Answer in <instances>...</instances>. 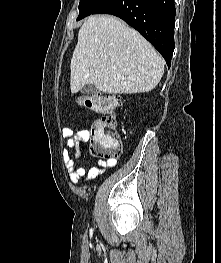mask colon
Returning a JSON list of instances; mask_svg holds the SVG:
<instances>
[{"label":"colon","instance_id":"colon-1","mask_svg":"<svg viewBox=\"0 0 221 263\" xmlns=\"http://www.w3.org/2000/svg\"><path fill=\"white\" fill-rule=\"evenodd\" d=\"M78 104L88 110L102 114L90 128L89 138L92 153L100 158L115 159L121 153L117 135L116 110L122 105L120 96L112 93L81 95Z\"/></svg>","mask_w":221,"mask_h":263}]
</instances>
